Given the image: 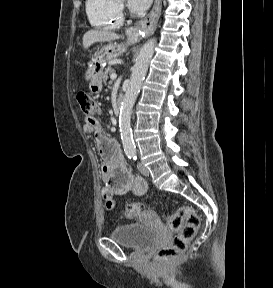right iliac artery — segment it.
Instances as JSON below:
<instances>
[{"label":"right iliac artery","mask_w":273,"mask_h":288,"mask_svg":"<svg viewBox=\"0 0 273 288\" xmlns=\"http://www.w3.org/2000/svg\"><path fill=\"white\" fill-rule=\"evenodd\" d=\"M128 157L131 159V158H133V155H128Z\"/></svg>","instance_id":"1"}]
</instances>
